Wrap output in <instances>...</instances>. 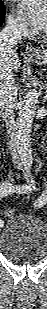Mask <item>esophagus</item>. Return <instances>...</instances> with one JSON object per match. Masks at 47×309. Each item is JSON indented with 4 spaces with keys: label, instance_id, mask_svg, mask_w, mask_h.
Listing matches in <instances>:
<instances>
[{
    "label": "esophagus",
    "instance_id": "34e87169",
    "mask_svg": "<svg viewBox=\"0 0 47 309\" xmlns=\"http://www.w3.org/2000/svg\"><path fill=\"white\" fill-rule=\"evenodd\" d=\"M26 54L27 55H36V54H38V51L32 45H27V47H26Z\"/></svg>",
    "mask_w": 47,
    "mask_h": 309
}]
</instances>
